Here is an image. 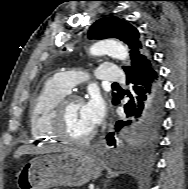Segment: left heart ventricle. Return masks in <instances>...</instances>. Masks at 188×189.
Instances as JSON below:
<instances>
[{"instance_id": "1", "label": "left heart ventricle", "mask_w": 188, "mask_h": 189, "mask_svg": "<svg viewBox=\"0 0 188 189\" xmlns=\"http://www.w3.org/2000/svg\"><path fill=\"white\" fill-rule=\"evenodd\" d=\"M93 128L86 117L84 102L71 103L66 111L64 120V129L67 134L73 137H83Z\"/></svg>"}]
</instances>
